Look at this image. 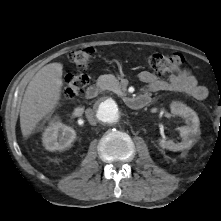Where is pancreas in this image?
Masks as SVG:
<instances>
[{
    "instance_id": "1",
    "label": "pancreas",
    "mask_w": 221,
    "mask_h": 221,
    "mask_svg": "<svg viewBox=\"0 0 221 221\" xmlns=\"http://www.w3.org/2000/svg\"><path fill=\"white\" fill-rule=\"evenodd\" d=\"M97 84L101 87L102 90L115 92L121 89L119 81L112 74L100 76L97 80Z\"/></svg>"
}]
</instances>
